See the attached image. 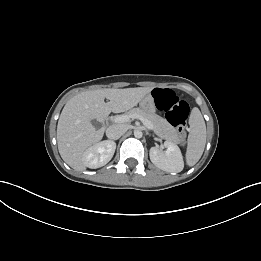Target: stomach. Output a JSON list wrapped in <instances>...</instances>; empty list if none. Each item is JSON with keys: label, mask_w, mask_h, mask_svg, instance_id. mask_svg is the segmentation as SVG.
Instances as JSON below:
<instances>
[{"label": "stomach", "mask_w": 261, "mask_h": 261, "mask_svg": "<svg viewBox=\"0 0 261 261\" xmlns=\"http://www.w3.org/2000/svg\"><path fill=\"white\" fill-rule=\"evenodd\" d=\"M139 105H140L141 109L146 111V112L154 113V111H155L154 98L150 94L146 95L140 101Z\"/></svg>", "instance_id": "obj_1"}]
</instances>
